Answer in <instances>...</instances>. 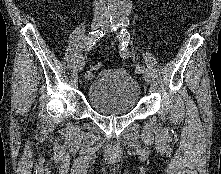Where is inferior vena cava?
I'll list each match as a JSON object with an SVG mask.
<instances>
[{
	"label": "inferior vena cava",
	"mask_w": 221,
	"mask_h": 174,
	"mask_svg": "<svg viewBox=\"0 0 221 174\" xmlns=\"http://www.w3.org/2000/svg\"><path fill=\"white\" fill-rule=\"evenodd\" d=\"M95 16L108 17V9L104 0H94Z\"/></svg>",
	"instance_id": "inferior-vena-cava-1"
}]
</instances>
